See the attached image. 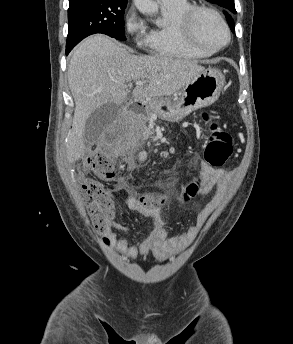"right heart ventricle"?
Here are the masks:
<instances>
[{"label": "right heart ventricle", "instance_id": "right-heart-ventricle-1", "mask_svg": "<svg viewBox=\"0 0 293 344\" xmlns=\"http://www.w3.org/2000/svg\"><path fill=\"white\" fill-rule=\"evenodd\" d=\"M193 6L190 0L162 3V14L166 22L152 27L145 35L143 42L150 53L165 58L186 60H199L210 56L190 47L180 34L179 20Z\"/></svg>", "mask_w": 293, "mask_h": 344}]
</instances>
